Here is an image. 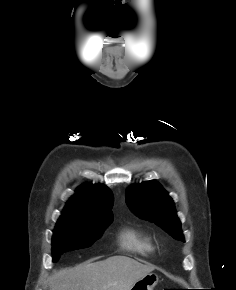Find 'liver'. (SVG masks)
I'll use <instances>...</instances> for the list:
<instances>
[{
	"label": "liver",
	"instance_id": "obj_1",
	"mask_svg": "<svg viewBox=\"0 0 236 290\" xmlns=\"http://www.w3.org/2000/svg\"><path fill=\"white\" fill-rule=\"evenodd\" d=\"M154 268L126 256L87 261L54 271L49 279L50 290H130L137 280Z\"/></svg>",
	"mask_w": 236,
	"mask_h": 290
}]
</instances>
